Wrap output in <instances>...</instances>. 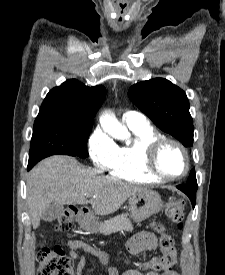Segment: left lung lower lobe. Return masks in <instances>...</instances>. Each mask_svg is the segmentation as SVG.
Returning <instances> with one entry per match:
<instances>
[{"mask_svg": "<svg viewBox=\"0 0 225 275\" xmlns=\"http://www.w3.org/2000/svg\"><path fill=\"white\" fill-rule=\"evenodd\" d=\"M177 188L182 192H184L190 198L192 206L194 208L195 200H196L197 185L186 183V184L177 186Z\"/></svg>", "mask_w": 225, "mask_h": 275, "instance_id": "0a47b994", "label": "left lung lower lobe"}]
</instances>
